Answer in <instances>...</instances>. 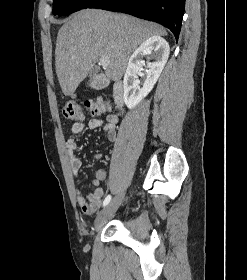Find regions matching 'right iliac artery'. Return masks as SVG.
I'll use <instances>...</instances> for the list:
<instances>
[{
	"mask_svg": "<svg viewBox=\"0 0 247 280\" xmlns=\"http://www.w3.org/2000/svg\"><path fill=\"white\" fill-rule=\"evenodd\" d=\"M111 200V195H108L105 199H104V202H103V207H105L106 205L109 204Z\"/></svg>",
	"mask_w": 247,
	"mask_h": 280,
	"instance_id": "1",
	"label": "right iliac artery"
}]
</instances>
